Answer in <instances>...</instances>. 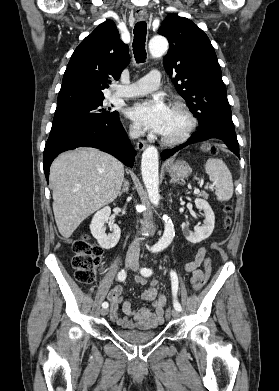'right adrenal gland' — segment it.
Segmentation results:
<instances>
[{"instance_id":"obj_1","label":"right adrenal gland","mask_w":279,"mask_h":391,"mask_svg":"<svg viewBox=\"0 0 279 391\" xmlns=\"http://www.w3.org/2000/svg\"><path fill=\"white\" fill-rule=\"evenodd\" d=\"M129 190V181L127 179L123 180V187L122 190L119 192V196H121L123 193L128 192Z\"/></svg>"}]
</instances>
